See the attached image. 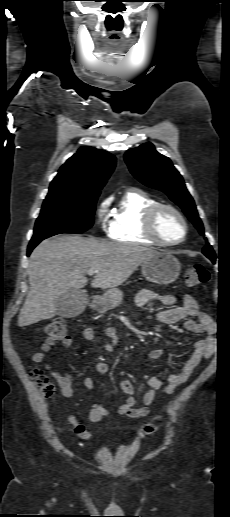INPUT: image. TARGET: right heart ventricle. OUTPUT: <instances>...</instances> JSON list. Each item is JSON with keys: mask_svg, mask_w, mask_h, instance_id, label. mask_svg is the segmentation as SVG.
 Masks as SVG:
<instances>
[{"mask_svg": "<svg viewBox=\"0 0 230 517\" xmlns=\"http://www.w3.org/2000/svg\"><path fill=\"white\" fill-rule=\"evenodd\" d=\"M159 204L149 193L130 188L124 192L114 209L108 226V236L123 243L158 244L145 231L147 211Z\"/></svg>", "mask_w": 230, "mask_h": 517, "instance_id": "obj_1", "label": "right heart ventricle"}]
</instances>
